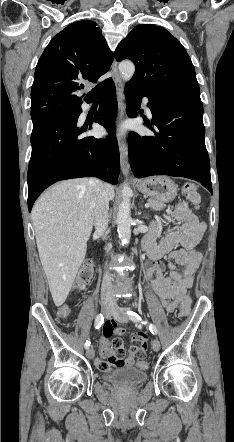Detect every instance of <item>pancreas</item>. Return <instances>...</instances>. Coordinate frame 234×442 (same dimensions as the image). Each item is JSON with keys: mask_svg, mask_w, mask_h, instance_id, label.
I'll list each match as a JSON object with an SVG mask.
<instances>
[{"mask_svg": "<svg viewBox=\"0 0 234 442\" xmlns=\"http://www.w3.org/2000/svg\"><path fill=\"white\" fill-rule=\"evenodd\" d=\"M148 203L150 204V207L155 211L162 210L166 207V205L163 202L152 198L148 199Z\"/></svg>", "mask_w": 234, "mask_h": 442, "instance_id": "cf45deb5", "label": "pancreas"}]
</instances>
